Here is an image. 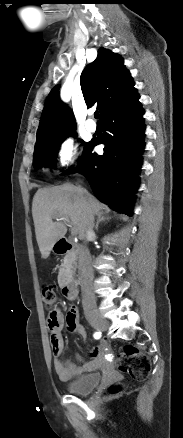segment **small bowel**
I'll use <instances>...</instances> for the list:
<instances>
[{
  "mask_svg": "<svg viewBox=\"0 0 183 438\" xmlns=\"http://www.w3.org/2000/svg\"><path fill=\"white\" fill-rule=\"evenodd\" d=\"M47 323L51 336L52 352L55 357L53 365L60 380L69 381L85 372L92 371L96 366V361L84 362L81 365H77L69 360L61 359V355L64 350V339L62 336L64 323L67 324L71 331L78 333L83 339L86 338V331L79 322L78 308L76 306H72L66 315H64L60 310L55 309L49 313ZM104 347L105 344L95 347L90 352V356L97 359L99 357L100 350ZM78 360L82 361L81 358H78Z\"/></svg>",
  "mask_w": 183,
  "mask_h": 438,
  "instance_id": "small-bowel-1",
  "label": "small bowel"
}]
</instances>
